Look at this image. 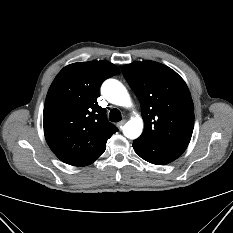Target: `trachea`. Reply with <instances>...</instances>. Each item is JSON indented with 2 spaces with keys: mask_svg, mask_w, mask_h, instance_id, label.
Segmentation results:
<instances>
[{
  "mask_svg": "<svg viewBox=\"0 0 233 233\" xmlns=\"http://www.w3.org/2000/svg\"><path fill=\"white\" fill-rule=\"evenodd\" d=\"M109 120L111 122H118L121 120V112L114 108L110 111Z\"/></svg>",
  "mask_w": 233,
  "mask_h": 233,
  "instance_id": "1",
  "label": "trachea"
}]
</instances>
